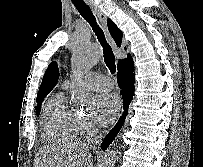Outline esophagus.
I'll list each match as a JSON object with an SVG mask.
<instances>
[{"label": "esophagus", "instance_id": "obj_1", "mask_svg": "<svg viewBox=\"0 0 203 167\" xmlns=\"http://www.w3.org/2000/svg\"><path fill=\"white\" fill-rule=\"evenodd\" d=\"M90 7L92 8V10L94 11V13L97 15V17L99 18L103 28H104V31L106 33V36L110 42V44L116 49V45L112 39V37L110 36L109 32H108V29H107V17L106 15L103 13V11L97 6L95 5L93 2H90L89 3Z\"/></svg>", "mask_w": 203, "mask_h": 167}]
</instances>
